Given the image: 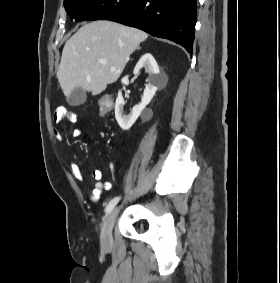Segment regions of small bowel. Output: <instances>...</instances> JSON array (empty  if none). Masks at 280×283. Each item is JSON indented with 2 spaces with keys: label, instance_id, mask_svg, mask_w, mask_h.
<instances>
[{
  "label": "small bowel",
  "instance_id": "small-bowel-1",
  "mask_svg": "<svg viewBox=\"0 0 280 283\" xmlns=\"http://www.w3.org/2000/svg\"><path fill=\"white\" fill-rule=\"evenodd\" d=\"M54 119H55V122H57V123H59L61 121L73 122L74 120H76V115H75L74 112H72V111H70L66 108H58L57 111L55 112ZM70 136L72 138H81V137L84 136V132L81 128H73L70 131ZM54 137L56 138L57 141L61 142L64 138V135L60 130L55 129L54 130ZM70 171L75 178H81L82 177L81 168L77 163L72 162L70 164ZM102 177H103V174L100 170H94L91 173V178L94 181L93 191H92V195H91V199L93 201L98 200L101 193L104 190L109 189L110 186H111V184L109 182L103 183L101 181Z\"/></svg>",
  "mask_w": 280,
  "mask_h": 283
}]
</instances>
